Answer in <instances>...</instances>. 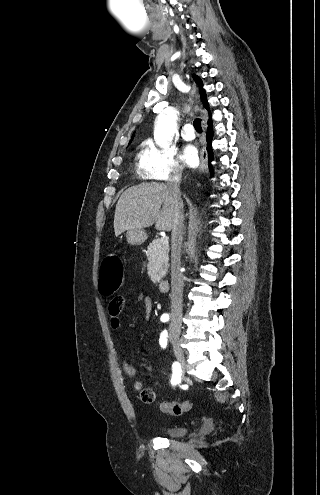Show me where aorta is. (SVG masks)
<instances>
[{"label":"aorta","instance_id":"aorta-1","mask_svg":"<svg viewBox=\"0 0 320 495\" xmlns=\"http://www.w3.org/2000/svg\"><path fill=\"white\" fill-rule=\"evenodd\" d=\"M178 111L174 107H167L154 122V140L163 150L168 149L175 135Z\"/></svg>","mask_w":320,"mask_h":495}]
</instances>
